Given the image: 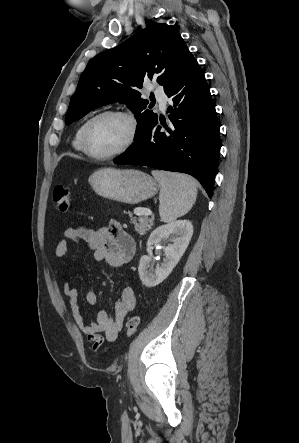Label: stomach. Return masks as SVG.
<instances>
[{
	"label": "stomach",
	"mask_w": 299,
	"mask_h": 443,
	"mask_svg": "<svg viewBox=\"0 0 299 443\" xmlns=\"http://www.w3.org/2000/svg\"><path fill=\"white\" fill-rule=\"evenodd\" d=\"M89 183L98 195L128 204L149 199L159 189L154 178L134 169L103 168L89 177Z\"/></svg>",
	"instance_id": "obj_1"
}]
</instances>
